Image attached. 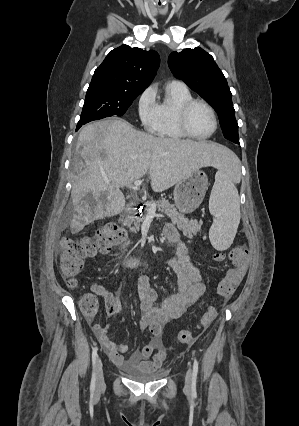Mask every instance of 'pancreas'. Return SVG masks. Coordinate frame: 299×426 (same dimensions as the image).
Listing matches in <instances>:
<instances>
[{"label": "pancreas", "mask_w": 299, "mask_h": 426, "mask_svg": "<svg viewBox=\"0 0 299 426\" xmlns=\"http://www.w3.org/2000/svg\"><path fill=\"white\" fill-rule=\"evenodd\" d=\"M152 205H155L159 212L165 213L168 215L172 222L177 224V227L182 233L192 238L195 236L200 230L201 226L203 224L202 221L198 220H188L184 217V215L179 214L173 204H170V202L166 199L162 200H150L145 203V211L144 215H141L140 217H131L128 220V226L130 227L132 223H134V227L130 228L132 232H137L140 229L141 223L145 220V216L149 213V209Z\"/></svg>", "instance_id": "cf45deb5"}]
</instances>
